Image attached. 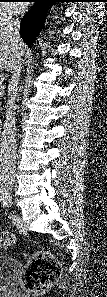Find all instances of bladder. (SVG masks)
Returning a JSON list of instances; mask_svg holds the SVG:
<instances>
[{"label": "bladder", "mask_w": 107, "mask_h": 297, "mask_svg": "<svg viewBox=\"0 0 107 297\" xmlns=\"http://www.w3.org/2000/svg\"><path fill=\"white\" fill-rule=\"evenodd\" d=\"M3 278V273L0 271V280Z\"/></svg>", "instance_id": "31cf9c89"}]
</instances>
